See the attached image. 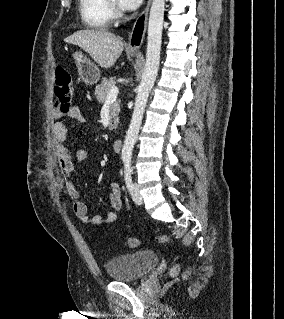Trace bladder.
I'll return each instance as SVG.
<instances>
[{
    "mask_svg": "<svg viewBox=\"0 0 284 319\" xmlns=\"http://www.w3.org/2000/svg\"><path fill=\"white\" fill-rule=\"evenodd\" d=\"M158 254L153 250H139L108 260L105 269L114 281H136L156 267Z\"/></svg>",
    "mask_w": 284,
    "mask_h": 319,
    "instance_id": "obj_1",
    "label": "bladder"
}]
</instances>
